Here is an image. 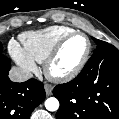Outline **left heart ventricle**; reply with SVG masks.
<instances>
[{
  "label": "left heart ventricle",
  "mask_w": 119,
  "mask_h": 119,
  "mask_svg": "<svg viewBox=\"0 0 119 119\" xmlns=\"http://www.w3.org/2000/svg\"><path fill=\"white\" fill-rule=\"evenodd\" d=\"M87 41L83 36H74L61 49L58 57L52 64L55 74L66 73L77 66L87 50Z\"/></svg>",
  "instance_id": "left-heart-ventricle-1"
}]
</instances>
